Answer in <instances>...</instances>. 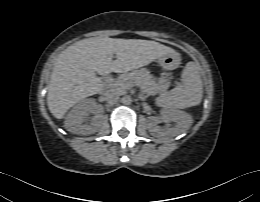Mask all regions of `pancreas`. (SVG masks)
<instances>
[{"label": "pancreas", "instance_id": "1", "mask_svg": "<svg viewBox=\"0 0 260 202\" xmlns=\"http://www.w3.org/2000/svg\"><path fill=\"white\" fill-rule=\"evenodd\" d=\"M133 85L139 86L144 94L154 96L164 93L169 83L165 79L156 81L154 76L146 68L124 73L117 79H108L106 81L107 88L119 94L125 93L126 90L130 89Z\"/></svg>", "mask_w": 260, "mask_h": 202}]
</instances>
